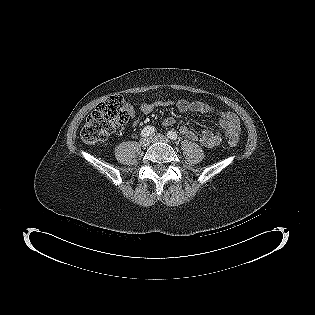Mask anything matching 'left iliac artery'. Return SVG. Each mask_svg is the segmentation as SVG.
I'll use <instances>...</instances> for the list:
<instances>
[{
    "label": "left iliac artery",
    "mask_w": 315,
    "mask_h": 315,
    "mask_svg": "<svg viewBox=\"0 0 315 315\" xmlns=\"http://www.w3.org/2000/svg\"><path fill=\"white\" fill-rule=\"evenodd\" d=\"M168 138L172 139V140H177L178 136L174 131H168L167 133Z\"/></svg>",
    "instance_id": "44dca946"
}]
</instances>
